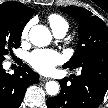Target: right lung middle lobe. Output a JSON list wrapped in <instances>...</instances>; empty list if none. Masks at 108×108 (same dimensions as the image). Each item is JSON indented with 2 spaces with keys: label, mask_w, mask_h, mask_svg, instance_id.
I'll return each instance as SVG.
<instances>
[{
  "label": "right lung middle lobe",
  "mask_w": 108,
  "mask_h": 108,
  "mask_svg": "<svg viewBox=\"0 0 108 108\" xmlns=\"http://www.w3.org/2000/svg\"><path fill=\"white\" fill-rule=\"evenodd\" d=\"M27 21L15 6L0 7V61L20 46L21 34Z\"/></svg>",
  "instance_id": "obj_1"
}]
</instances>
